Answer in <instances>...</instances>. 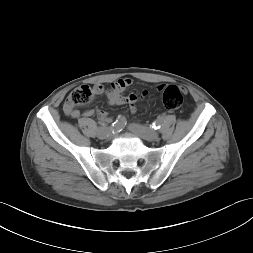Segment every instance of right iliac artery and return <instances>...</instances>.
Segmentation results:
<instances>
[{
  "instance_id": "82829eb1",
  "label": "right iliac artery",
  "mask_w": 253,
  "mask_h": 253,
  "mask_svg": "<svg viewBox=\"0 0 253 253\" xmlns=\"http://www.w3.org/2000/svg\"><path fill=\"white\" fill-rule=\"evenodd\" d=\"M126 123L127 121L124 116H118L116 121L112 123V126L115 130H122L125 127ZM99 124L105 126V122L103 121L99 122Z\"/></svg>"
}]
</instances>
